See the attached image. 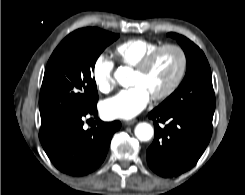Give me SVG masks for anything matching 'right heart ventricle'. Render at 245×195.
I'll return each mask as SVG.
<instances>
[{
    "label": "right heart ventricle",
    "mask_w": 245,
    "mask_h": 195,
    "mask_svg": "<svg viewBox=\"0 0 245 195\" xmlns=\"http://www.w3.org/2000/svg\"><path fill=\"white\" fill-rule=\"evenodd\" d=\"M159 46V43L145 39H130L118 44L114 49V54L121 64L135 68Z\"/></svg>",
    "instance_id": "obj_1"
}]
</instances>
